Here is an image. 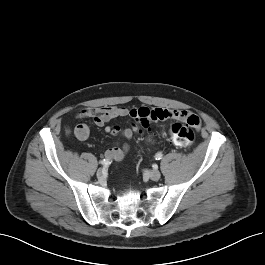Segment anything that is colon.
Instances as JSON below:
<instances>
[{"label":"colon","instance_id":"colon-1","mask_svg":"<svg viewBox=\"0 0 265 265\" xmlns=\"http://www.w3.org/2000/svg\"><path fill=\"white\" fill-rule=\"evenodd\" d=\"M148 116L150 121H156L163 119L165 117V112L158 109L153 111H148ZM198 124V119L195 117H190V122L183 124L176 122L172 124L170 128V137L172 142L181 148H189L195 141V128Z\"/></svg>","mask_w":265,"mask_h":265}]
</instances>
